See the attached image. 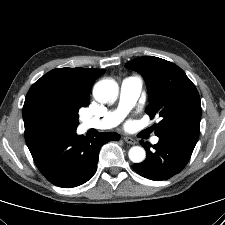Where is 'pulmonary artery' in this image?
I'll return each mask as SVG.
<instances>
[{"mask_svg":"<svg viewBox=\"0 0 225 225\" xmlns=\"http://www.w3.org/2000/svg\"><path fill=\"white\" fill-rule=\"evenodd\" d=\"M142 90V79L139 76L125 78L120 87L119 103L115 110L100 118H88L83 122V128L110 129L117 126L136 104ZM159 138L154 137L152 142L158 143Z\"/></svg>","mask_w":225,"mask_h":225,"instance_id":"obj_1","label":"pulmonary artery"}]
</instances>
